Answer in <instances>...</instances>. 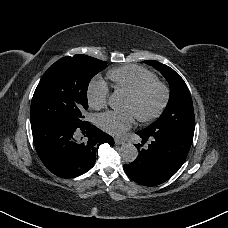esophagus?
I'll return each instance as SVG.
<instances>
[{
	"instance_id": "esophagus-1",
	"label": "esophagus",
	"mask_w": 228,
	"mask_h": 228,
	"mask_svg": "<svg viewBox=\"0 0 228 228\" xmlns=\"http://www.w3.org/2000/svg\"><path fill=\"white\" fill-rule=\"evenodd\" d=\"M115 144L116 145H123V144H125V142L120 140V139H115Z\"/></svg>"
}]
</instances>
